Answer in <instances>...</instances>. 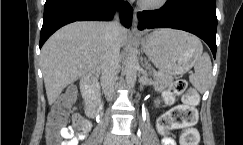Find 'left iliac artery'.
I'll return each mask as SVG.
<instances>
[{
	"label": "left iliac artery",
	"instance_id": "1",
	"mask_svg": "<svg viewBox=\"0 0 243 145\" xmlns=\"http://www.w3.org/2000/svg\"><path fill=\"white\" fill-rule=\"evenodd\" d=\"M132 140L136 145H140V141L139 138L137 136H135L134 134L132 135Z\"/></svg>",
	"mask_w": 243,
	"mask_h": 145
}]
</instances>
